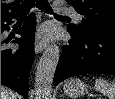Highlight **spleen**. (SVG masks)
Here are the masks:
<instances>
[{
  "label": "spleen",
  "instance_id": "spleen-1",
  "mask_svg": "<svg viewBox=\"0 0 115 99\" xmlns=\"http://www.w3.org/2000/svg\"><path fill=\"white\" fill-rule=\"evenodd\" d=\"M95 88L110 99H115V83H109L107 80L100 78L95 81Z\"/></svg>",
  "mask_w": 115,
  "mask_h": 99
}]
</instances>
